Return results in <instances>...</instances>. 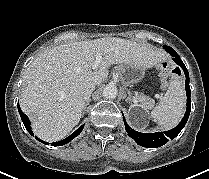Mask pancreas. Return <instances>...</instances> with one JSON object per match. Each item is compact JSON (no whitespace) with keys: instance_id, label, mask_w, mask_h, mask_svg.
<instances>
[{"instance_id":"1","label":"pancreas","mask_w":209,"mask_h":179,"mask_svg":"<svg viewBox=\"0 0 209 179\" xmlns=\"http://www.w3.org/2000/svg\"><path fill=\"white\" fill-rule=\"evenodd\" d=\"M136 99H137V101H139L140 103H142L143 105H145L149 108H151L153 105V100L150 97H148L142 93H136Z\"/></svg>"}]
</instances>
